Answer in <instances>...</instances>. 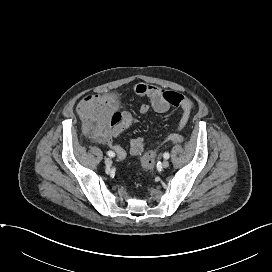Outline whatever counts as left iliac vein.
I'll use <instances>...</instances> for the list:
<instances>
[{
	"label": "left iliac vein",
	"mask_w": 272,
	"mask_h": 272,
	"mask_svg": "<svg viewBox=\"0 0 272 272\" xmlns=\"http://www.w3.org/2000/svg\"><path fill=\"white\" fill-rule=\"evenodd\" d=\"M162 166H163L164 168L169 167V161H168V160H164V161L162 162Z\"/></svg>",
	"instance_id": "1"
}]
</instances>
